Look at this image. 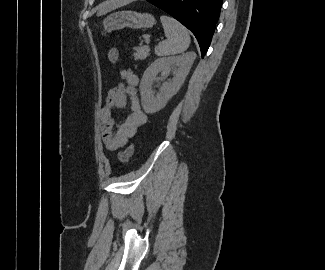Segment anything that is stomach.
Returning a JSON list of instances; mask_svg holds the SVG:
<instances>
[{
	"label": "stomach",
	"instance_id": "0dacf381",
	"mask_svg": "<svg viewBox=\"0 0 325 270\" xmlns=\"http://www.w3.org/2000/svg\"><path fill=\"white\" fill-rule=\"evenodd\" d=\"M155 19L150 14H141L134 11H119L106 17L103 21L104 30L111 32L113 30L129 28L152 27Z\"/></svg>",
	"mask_w": 325,
	"mask_h": 270
}]
</instances>
